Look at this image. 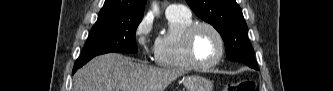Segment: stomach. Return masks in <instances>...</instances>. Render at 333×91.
I'll return each instance as SVG.
<instances>
[{"label": "stomach", "instance_id": "obj_1", "mask_svg": "<svg viewBox=\"0 0 333 91\" xmlns=\"http://www.w3.org/2000/svg\"><path fill=\"white\" fill-rule=\"evenodd\" d=\"M186 91H212L213 82L202 76H187L183 78Z\"/></svg>", "mask_w": 333, "mask_h": 91}]
</instances>
